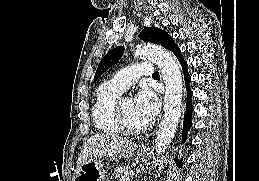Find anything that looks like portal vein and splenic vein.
I'll return each instance as SVG.
<instances>
[{"mask_svg":"<svg viewBox=\"0 0 259 181\" xmlns=\"http://www.w3.org/2000/svg\"><path fill=\"white\" fill-rule=\"evenodd\" d=\"M121 181H130L129 177L125 178V177H122L121 178Z\"/></svg>","mask_w":259,"mask_h":181,"instance_id":"1","label":"portal vein and splenic vein"}]
</instances>
